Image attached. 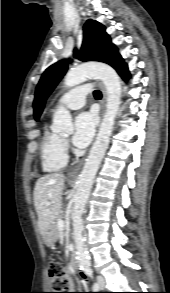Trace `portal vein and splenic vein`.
I'll use <instances>...</instances> for the list:
<instances>
[{"label":"portal vein and splenic vein","instance_id":"18ae733b","mask_svg":"<svg viewBox=\"0 0 170 293\" xmlns=\"http://www.w3.org/2000/svg\"><path fill=\"white\" fill-rule=\"evenodd\" d=\"M64 227H65V222H64V220L60 219V220L58 221V229H59V230H63Z\"/></svg>","mask_w":170,"mask_h":293}]
</instances>
